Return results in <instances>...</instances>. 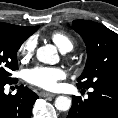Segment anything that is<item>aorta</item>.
Masks as SVG:
<instances>
[{"label":"aorta","instance_id":"obj_1","mask_svg":"<svg viewBox=\"0 0 118 118\" xmlns=\"http://www.w3.org/2000/svg\"><path fill=\"white\" fill-rule=\"evenodd\" d=\"M37 59L42 63L55 64L58 56L56 48L51 45H46L38 48ZM55 107L59 111H68L71 107V100L66 96H58L55 100Z\"/></svg>","mask_w":118,"mask_h":118}]
</instances>
